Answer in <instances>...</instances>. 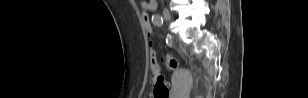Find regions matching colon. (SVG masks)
Returning a JSON list of instances; mask_svg holds the SVG:
<instances>
[{
  "label": "colon",
  "instance_id": "5ec220e1",
  "mask_svg": "<svg viewBox=\"0 0 308 98\" xmlns=\"http://www.w3.org/2000/svg\"><path fill=\"white\" fill-rule=\"evenodd\" d=\"M140 15L143 16L144 31L150 35L154 29L153 23L150 20V16L147 15L146 9L140 10ZM165 65L170 70H176L179 67V62L176 58L170 55H166L164 57ZM150 67L152 72L155 74V78L152 80L151 89L153 90V94L155 98H168L169 95V83L166 79L159 74V64L157 61L156 53L153 49L150 50Z\"/></svg>",
  "mask_w": 308,
  "mask_h": 98
}]
</instances>
